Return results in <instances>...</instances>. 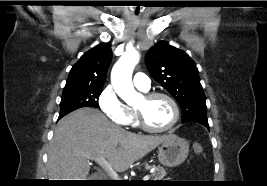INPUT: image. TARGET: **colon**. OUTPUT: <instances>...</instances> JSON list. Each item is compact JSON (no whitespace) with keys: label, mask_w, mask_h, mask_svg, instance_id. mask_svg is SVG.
Here are the masks:
<instances>
[{"label":"colon","mask_w":267,"mask_h":186,"mask_svg":"<svg viewBox=\"0 0 267 186\" xmlns=\"http://www.w3.org/2000/svg\"><path fill=\"white\" fill-rule=\"evenodd\" d=\"M193 150H194V152H195L197 155H200V154H202V152H203V148H202V146H201L200 144H198V143H195V144L193 145Z\"/></svg>","instance_id":"5ec220e1"}]
</instances>
